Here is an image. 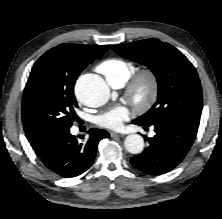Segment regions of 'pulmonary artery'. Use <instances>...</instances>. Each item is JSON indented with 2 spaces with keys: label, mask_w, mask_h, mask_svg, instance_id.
Listing matches in <instances>:
<instances>
[{
  "label": "pulmonary artery",
  "mask_w": 222,
  "mask_h": 219,
  "mask_svg": "<svg viewBox=\"0 0 222 219\" xmlns=\"http://www.w3.org/2000/svg\"><path fill=\"white\" fill-rule=\"evenodd\" d=\"M122 85H123V84L120 83V82H113V83L111 84V86L114 87V88H120Z\"/></svg>",
  "instance_id": "pulmonary-artery-1"
}]
</instances>
